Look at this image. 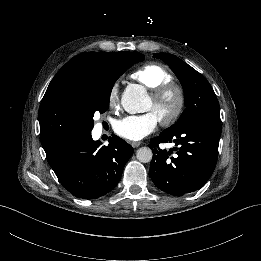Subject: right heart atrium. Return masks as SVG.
<instances>
[{
  "label": "right heart atrium",
  "instance_id": "obj_1",
  "mask_svg": "<svg viewBox=\"0 0 261 261\" xmlns=\"http://www.w3.org/2000/svg\"><path fill=\"white\" fill-rule=\"evenodd\" d=\"M119 105V95L117 86H113L108 95V106L110 108H115Z\"/></svg>",
  "mask_w": 261,
  "mask_h": 261
}]
</instances>
